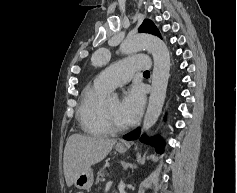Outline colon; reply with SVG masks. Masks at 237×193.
Returning a JSON list of instances; mask_svg holds the SVG:
<instances>
[{"label":"colon","mask_w":237,"mask_h":193,"mask_svg":"<svg viewBox=\"0 0 237 193\" xmlns=\"http://www.w3.org/2000/svg\"><path fill=\"white\" fill-rule=\"evenodd\" d=\"M75 193H83L82 191H76Z\"/></svg>","instance_id":"5ec220e1"}]
</instances>
